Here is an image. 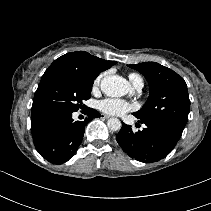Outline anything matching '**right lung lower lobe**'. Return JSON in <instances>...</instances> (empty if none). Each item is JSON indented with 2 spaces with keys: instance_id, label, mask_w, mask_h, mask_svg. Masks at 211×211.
Instances as JSON below:
<instances>
[{
  "instance_id": "obj_1",
  "label": "right lung lower lobe",
  "mask_w": 211,
  "mask_h": 211,
  "mask_svg": "<svg viewBox=\"0 0 211 211\" xmlns=\"http://www.w3.org/2000/svg\"><path fill=\"white\" fill-rule=\"evenodd\" d=\"M87 118L74 121L72 113H47L31 116V132L38 153L53 164L67 162L82 142L86 123L100 113L86 108Z\"/></svg>"
}]
</instances>
